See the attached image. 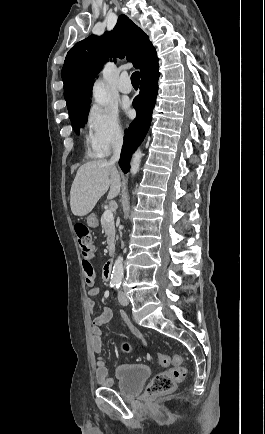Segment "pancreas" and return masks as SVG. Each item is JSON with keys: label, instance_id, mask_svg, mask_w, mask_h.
<instances>
[{"label": "pancreas", "instance_id": "1", "mask_svg": "<svg viewBox=\"0 0 265 434\" xmlns=\"http://www.w3.org/2000/svg\"><path fill=\"white\" fill-rule=\"evenodd\" d=\"M102 228L105 232L106 242L108 244V250L109 248H114V242H115V226L113 222H102Z\"/></svg>", "mask_w": 265, "mask_h": 434}]
</instances>
